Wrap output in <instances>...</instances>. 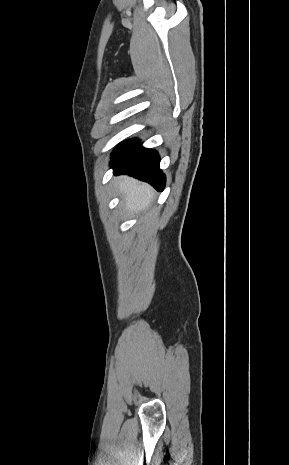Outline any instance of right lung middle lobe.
Segmentation results:
<instances>
[{
	"mask_svg": "<svg viewBox=\"0 0 289 465\" xmlns=\"http://www.w3.org/2000/svg\"><path fill=\"white\" fill-rule=\"evenodd\" d=\"M140 143L137 139H130L125 142H122L118 147L114 150L112 154V163L119 162L122 160L126 155H128L138 144Z\"/></svg>",
	"mask_w": 289,
	"mask_h": 465,
	"instance_id": "obj_1",
	"label": "right lung middle lobe"
}]
</instances>
